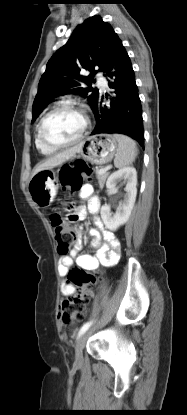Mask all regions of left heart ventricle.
Returning a JSON list of instances; mask_svg holds the SVG:
<instances>
[{
	"label": "left heart ventricle",
	"instance_id": "left-heart-ventricle-1",
	"mask_svg": "<svg viewBox=\"0 0 187 415\" xmlns=\"http://www.w3.org/2000/svg\"><path fill=\"white\" fill-rule=\"evenodd\" d=\"M84 126L80 112L72 108H61L48 117L44 125L45 137L54 143L75 139Z\"/></svg>",
	"mask_w": 187,
	"mask_h": 415
}]
</instances>
